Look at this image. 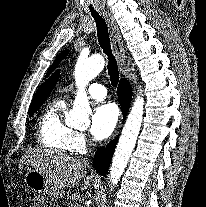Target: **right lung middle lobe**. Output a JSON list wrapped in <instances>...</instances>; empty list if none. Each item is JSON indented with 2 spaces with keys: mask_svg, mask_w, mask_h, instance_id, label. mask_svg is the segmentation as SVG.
Wrapping results in <instances>:
<instances>
[{
  "mask_svg": "<svg viewBox=\"0 0 206 207\" xmlns=\"http://www.w3.org/2000/svg\"><path fill=\"white\" fill-rule=\"evenodd\" d=\"M39 107L29 109V116L31 117Z\"/></svg>",
  "mask_w": 206,
  "mask_h": 207,
  "instance_id": "dd1d6c3e",
  "label": "right lung middle lobe"
}]
</instances>
